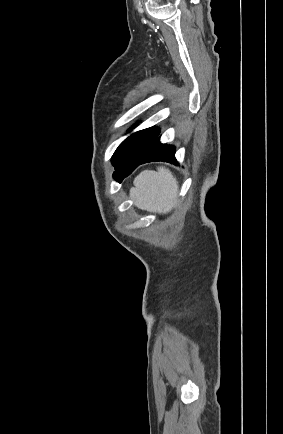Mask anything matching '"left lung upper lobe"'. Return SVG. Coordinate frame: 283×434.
I'll use <instances>...</instances> for the list:
<instances>
[{
  "mask_svg": "<svg viewBox=\"0 0 283 434\" xmlns=\"http://www.w3.org/2000/svg\"><path fill=\"white\" fill-rule=\"evenodd\" d=\"M157 127L138 131L125 139L112 156L113 166H118L142 157L159 135Z\"/></svg>",
  "mask_w": 283,
  "mask_h": 434,
  "instance_id": "1",
  "label": "left lung upper lobe"
}]
</instances>
